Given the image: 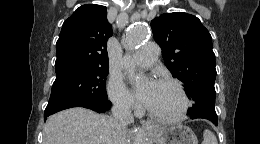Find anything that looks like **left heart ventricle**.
<instances>
[{"label":"left heart ventricle","instance_id":"b2bd125f","mask_svg":"<svg viewBox=\"0 0 260 144\" xmlns=\"http://www.w3.org/2000/svg\"><path fill=\"white\" fill-rule=\"evenodd\" d=\"M182 104V99L173 86L157 82L153 97L147 106L159 114L175 115L181 110Z\"/></svg>","mask_w":260,"mask_h":144}]
</instances>
